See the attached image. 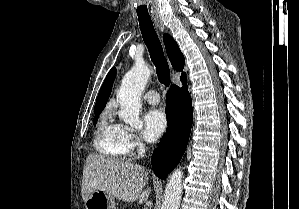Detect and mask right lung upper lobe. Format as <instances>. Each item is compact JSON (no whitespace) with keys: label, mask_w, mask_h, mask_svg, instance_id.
Masks as SVG:
<instances>
[{"label":"right lung upper lobe","mask_w":299,"mask_h":209,"mask_svg":"<svg viewBox=\"0 0 299 209\" xmlns=\"http://www.w3.org/2000/svg\"><path fill=\"white\" fill-rule=\"evenodd\" d=\"M164 44L166 47L167 55L173 68L177 71H182L184 67V56L181 53L177 43L173 38L168 35H163ZM116 74V68H112L105 78L104 84L102 85L98 97L96 99L94 112H101L106 105L108 97L111 93L113 86L114 77ZM186 79V74L183 72L181 75V81Z\"/></svg>","instance_id":"cb5924a9"}]
</instances>
